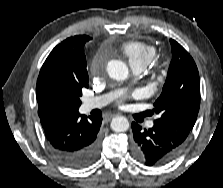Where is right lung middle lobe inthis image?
Here are the masks:
<instances>
[{
    "label": "right lung middle lobe",
    "instance_id": "1",
    "mask_svg": "<svg viewBox=\"0 0 223 188\" xmlns=\"http://www.w3.org/2000/svg\"><path fill=\"white\" fill-rule=\"evenodd\" d=\"M81 66L83 70H86V60L83 56L81 61ZM83 87H88V81L81 83L80 85H75L71 90L59 93L55 96L57 105L62 108H75L78 109L81 105L79 97L82 95L81 89Z\"/></svg>",
    "mask_w": 223,
    "mask_h": 188
}]
</instances>
